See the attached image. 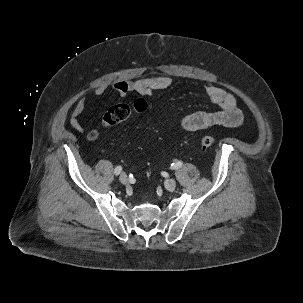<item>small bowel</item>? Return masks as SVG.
Instances as JSON below:
<instances>
[{"instance_id": "1", "label": "small bowel", "mask_w": 303, "mask_h": 303, "mask_svg": "<svg viewBox=\"0 0 303 303\" xmlns=\"http://www.w3.org/2000/svg\"><path fill=\"white\" fill-rule=\"evenodd\" d=\"M171 84L172 79L170 77L157 75L136 80H121L113 85V89L120 97H124L129 93L150 95L155 91L167 89ZM104 93L105 89L102 87L95 90V95L97 96H101ZM205 93L210 102L216 106V109L213 111H197L184 116L180 121L182 129L194 132L212 126L235 128L242 125L243 115L232 93L212 84L206 86ZM85 108L86 98L82 97L76 102L71 111L69 125L79 132L84 131L79 117ZM99 136L100 132L98 130H91L87 133L89 141H95Z\"/></svg>"}]
</instances>
